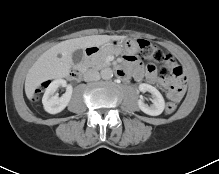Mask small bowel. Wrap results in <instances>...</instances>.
I'll list each match as a JSON object with an SVG mask.
<instances>
[{
    "mask_svg": "<svg viewBox=\"0 0 219 174\" xmlns=\"http://www.w3.org/2000/svg\"><path fill=\"white\" fill-rule=\"evenodd\" d=\"M167 66L173 70L178 67L176 62L171 56L167 57ZM133 73L136 78L142 76V68L138 65L136 58L132 55L126 56L124 59V66L120 69L121 77L125 78L126 75ZM147 78L151 82H158L162 86H167L166 98L169 101H178L184 94L185 91V77L184 74L181 77L172 76L170 79H161L158 78L154 68L149 67L147 70Z\"/></svg>",
    "mask_w": 219,
    "mask_h": 174,
    "instance_id": "small-bowel-1",
    "label": "small bowel"
}]
</instances>
